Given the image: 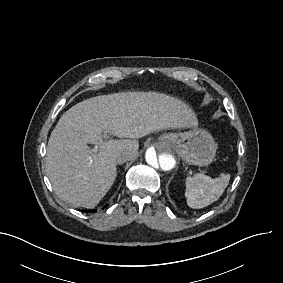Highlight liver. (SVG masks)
<instances>
[{
  "label": "liver",
  "instance_id": "liver-1",
  "mask_svg": "<svg viewBox=\"0 0 283 283\" xmlns=\"http://www.w3.org/2000/svg\"><path fill=\"white\" fill-rule=\"evenodd\" d=\"M195 112L157 92H121L86 99L67 110L52 131L46 171L56 195L74 206L95 207L116 176L115 154L139 147L138 138L163 129L196 128ZM103 132L120 140L103 141ZM87 144L97 146L94 152Z\"/></svg>",
  "mask_w": 283,
  "mask_h": 283
}]
</instances>
